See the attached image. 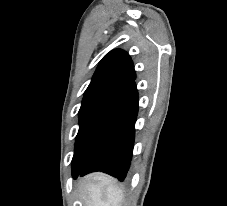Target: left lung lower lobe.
Returning a JSON list of instances; mask_svg holds the SVG:
<instances>
[{
    "mask_svg": "<svg viewBox=\"0 0 227 206\" xmlns=\"http://www.w3.org/2000/svg\"><path fill=\"white\" fill-rule=\"evenodd\" d=\"M138 92L134 80L107 106L97 123L86 156L74 167L72 177L93 171L108 173L123 181L134 146Z\"/></svg>",
    "mask_w": 227,
    "mask_h": 206,
    "instance_id": "0a47b994",
    "label": "left lung lower lobe"
}]
</instances>
